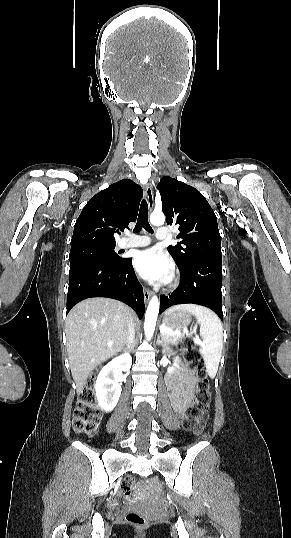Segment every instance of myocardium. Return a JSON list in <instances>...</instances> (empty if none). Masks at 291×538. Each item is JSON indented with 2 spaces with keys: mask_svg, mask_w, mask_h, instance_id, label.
I'll use <instances>...</instances> for the list:
<instances>
[{
  "mask_svg": "<svg viewBox=\"0 0 291 538\" xmlns=\"http://www.w3.org/2000/svg\"><path fill=\"white\" fill-rule=\"evenodd\" d=\"M177 283H178V279H177V277H176L174 274H172L171 277L169 278L167 284H168L170 287H174V286L177 285Z\"/></svg>",
  "mask_w": 291,
  "mask_h": 538,
  "instance_id": "obj_1",
  "label": "myocardium"
}]
</instances>
